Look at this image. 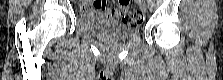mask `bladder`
Segmentation results:
<instances>
[{"label":"bladder","instance_id":"obj_1","mask_svg":"<svg viewBox=\"0 0 223 80\" xmlns=\"http://www.w3.org/2000/svg\"><path fill=\"white\" fill-rule=\"evenodd\" d=\"M78 25L87 33L105 39L123 41L138 34V27L121 23L114 19L81 15Z\"/></svg>","mask_w":223,"mask_h":80}]
</instances>
